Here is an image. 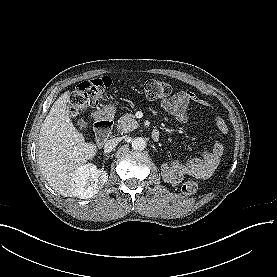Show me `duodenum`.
<instances>
[{
	"mask_svg": "<svg viewBox=\"0 0 277 277\" xmlns=\"http://www.w3.org/2000/svg\"><path fill=\"white\" fill-rule=\"evenodd\" d=\"M97 115L98 119L95 123L94 130L97 135L98 143L103 144L110 138L114 121L107 118L103 111H99ZM151 139L153 141H158L160 139V132L158 129H153L151 131Z\"/></svg>",
	"mask_w": 277,
	"mask_h": 277,
	"instance_id": "obj_1",
	"label": "duodenum"
}]
</instances>
